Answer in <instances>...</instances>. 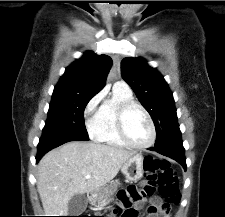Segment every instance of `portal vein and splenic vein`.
Returning a JSON list of instances; mask_svg holds the SVG:
<instances>
[{"mask_svg":"<svg viewBox=\"0 0 225 217\" xmlns=\"http://www.w3.org/2000/svg\"><path fill=\"white\" fill-rule=\"evenodd\" d=\"M90 177H91V175H89V174L85 176L86 179H89Z\"/></svg>","mask_w":225,"mask_h":217,"instance_id":"portal-vein-and-splenic-vein-1","label":"portal vein and splenic vein"}]
</instances>
